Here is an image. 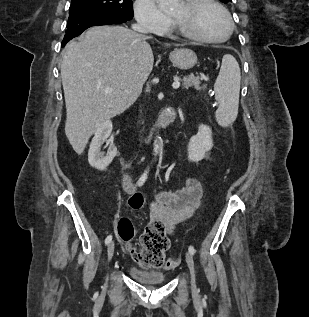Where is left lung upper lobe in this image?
Returning <instances> with one entry per match:
<instances>
[{
    "label": "left lung upper lobe",
    "instance_id": "1",
    "mask_svg": "<svg viewBox=\"0 0 309 317\" xmlns=\"http://www.w3.org/2000/svg\"><path fill=\"white\" fill-rule=\"evenodd\" d=\"M222 1L223 3H228V2H231L232 0H220Z\"/></svg>",
    "mask_w": 309,
    "mask_h": 317
}]
</instances>
